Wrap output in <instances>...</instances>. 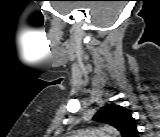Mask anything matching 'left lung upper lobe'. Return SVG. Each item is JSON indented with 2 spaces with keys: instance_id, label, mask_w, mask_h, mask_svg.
I'll return each instance as SVG.
<instances>
[{
  "instance_id": "left-lung-upper-lobe-1",
  "label": "left lung upper lobe",
  "mask_w": 160,
  "mask_h": 137,
  "mask_svg": "<svg viewBox=\"0 0 160 137\" xmlns=\"http://www.w3.org/2000/svg\"><path fill=\"white\" fill-rule=\"evenodd\" d=\"M93 119L116 127L123 137H128L136 129L131 113L124 107L115 104L103 106Z\"/></svg>"
}]
</instances>
